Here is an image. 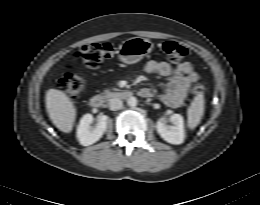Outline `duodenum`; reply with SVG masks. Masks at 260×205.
<instances>
[{
    "instance_id": "duodenum-1",
    "label": "duodenum",
    "mask_w": 260,
    "mask_h": 205,
    "mask_svg": "<svg viewBox=\"0 0 260 205\" xmlns=\"http://www.w3.org/2000/svg\"><path fill=\"white\" fill-rule=\"evenodd\" d=\"M134 95L133 91L127 89L114 90L107 94L93 95L89 99V105L93 108H101L108 99H129Z\"/></svg>"
}]
</instances>
